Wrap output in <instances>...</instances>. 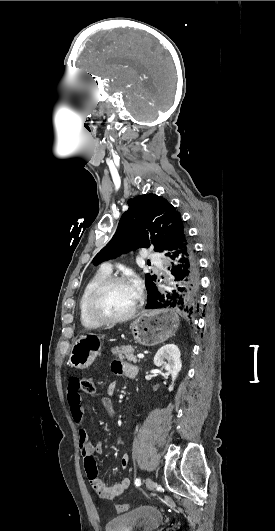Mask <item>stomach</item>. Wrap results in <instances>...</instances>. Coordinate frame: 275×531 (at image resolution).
I'll use <instances>...</instances> for the list:
<instances>
[{
  "label": "stomach",
  "mask_w": 275,
  "mask_h": 531,
  "mask_svg": "<svg viewBox=\"0 0 275 531\" xmlns=\"http://www.w3.org/2000/svg\"><path fill=\"white\" fill-rule=\"evenodd\" d=\"M179 327V317L173 309H156L143 311L133 323L131 333L139 345L154 347L167 341L176 333ZM102 341L94 333L81 335L71 347L69 365L75 369H88L101 351Z\"/></svg>",
  "instance_id": "1"
}]
</instances>
